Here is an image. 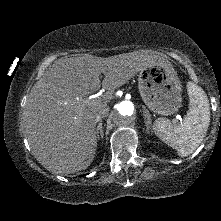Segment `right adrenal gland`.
<instances>
[{
  "label": "right adrenal gland",
  "mask_w": 221,
  "mask_h": 221,
  "mask_svg": "<svg viewBox=\"0 0 221 221\" xmlns=\"http://www.w3.org/2000/svg\"><path fill=\"white\" fill-rule=\"evenodd\" d=\"M103 123L102 121L99 122V124L96 127V134H97V140L103 139L104 132H103Z\"/></svg>",
  "instance_id": "2a0ac1e0"
}]
</instances>
